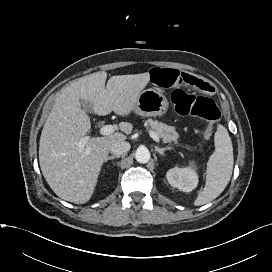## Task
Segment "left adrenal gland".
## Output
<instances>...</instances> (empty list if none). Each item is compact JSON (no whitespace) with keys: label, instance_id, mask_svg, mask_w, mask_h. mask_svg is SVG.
I'll return each instance as SVG.
<instances>
[{"label":"left adrenal gland","instance_id":"obj_1","mask_svg":"<svg viewBox=\"0 0 272 272\" xmlns=\"http://www.w3.org/2000/svg\"><path fill=\"white\" fill-rule=\"evenodd\" d=\"M155 150H156L160 155H164V152H165L166 150H171V147L159 148V147L155 146Z\"/></svg>","mask_w":272,"mask_h":272}]
</instances>
